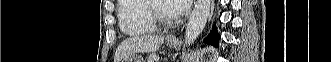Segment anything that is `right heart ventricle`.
I'll return each instance as SVG.
<instances>
[{"label": "right heart ventricle", "mask_w": 331, "mask_h": 62, "mask_svg": "<svg viewBox=\"0 0 331 62\" xmlns=\"http://www.w3.org/2000/svg\"><path fill=\"white\" fill-rule=\"evenodd\" d=\"M117 16L121 31L130 36H137L155 31V25L147 14V1H118Z\"/></svg>", "instance_id": "right-heart-ventricle-1"}]
</instances>
